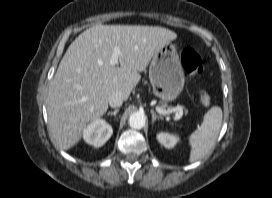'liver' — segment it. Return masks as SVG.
I'll use <instances>...</instances> for the list:
<instances>
[{"label":"liver","mask_w":272,"mask_h":198,"mask_svg":"<svg viewBox=\"0 0 272 198\" xmlns=\"http://www.w3.org/2000/svg\"><path fill=\"white\" fill-rule=\"evenodd\" d=\"M176 38L158 26L98 24L81 33L48 90V120L59 147L68 150L80 141L87 125L106 113L112 93L127 100L155 53ZM115 48L120 67L110 64Z\"/></svg>","instance_id":"obj_1"}]
</instances>
